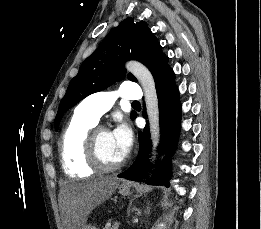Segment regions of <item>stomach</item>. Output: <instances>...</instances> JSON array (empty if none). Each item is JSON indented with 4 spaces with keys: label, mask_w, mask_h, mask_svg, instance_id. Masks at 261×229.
<instances>
[{
    "label": "stomach",
    "mask_w": 261,
    "mask_h": 229,
    "mask_svg": "<svg viewBox=\"0 0 261 229\" xmlns=\"http://www.w3.org/2000/svg\"><path fill=\"white\" fill-rule=\"evenodd\" d=\"M119 193L120 195H123V197H129V195H131L129 187H119ZM85 229H96V227H92V225H87Z\"/></svg>",
    "instance_id": "obj_1"
}]
</instances>
